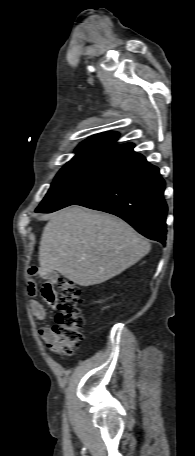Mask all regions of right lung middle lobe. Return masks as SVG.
<instances>
[{
  "instance_id": "obj_1",
  "label": "right lung middle lobe",
  "mask_w": 195,
  "mask_h": 456,
  "mask_svg": "<svg viewBox=\"0 0 195 456\" xmlns=\"http://www.w3.org/2000/svg\"><path fill=\"white\" fill-rule=\"evenodd\" d=\"M123 169L87 162L67 163L56 175L37 209L47 213L59 210L98 191Z\"/></svg>"
}]
</instances>
